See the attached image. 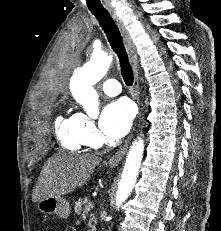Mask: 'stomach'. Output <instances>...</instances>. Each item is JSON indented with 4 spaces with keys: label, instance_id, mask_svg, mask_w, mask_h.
Here are the masks:
<instances>
[{
    "label": "stomach",
    "instance_id": "0dacf381",
    "mask_svg": "<svg viewBox=\"0 0 221 231\" xmlns=\"http://www.w3.org/2000/svg\"><path fill=\"white\" fill-rule=\"evenodd\" d=\"M36 208L44 214L57 215L68 218L71 208L69 202L61 196H51L37 202Z\"/></svg>",
    "mask_w": 221,
    "mask_h": 231
}]
</instances>
